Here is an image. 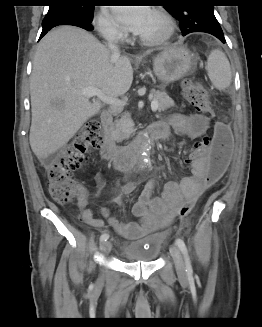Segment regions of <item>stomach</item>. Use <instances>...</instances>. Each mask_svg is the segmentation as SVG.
<instances>
[{"mask_svg": "<svg viewBox=\"0 0 262 327\" xmlns=\"http://www.w3.org/2000/svg\"><path fill=\"white\" fill-rule=\"evenodd\" d=\"M193 67V56L183 46L165 49L153 59L154 73L164 86L181 79L192 71Z\"/></svg>", "mask_w": 262, "mask_h": 327, "instance_id": "stomach-1", "label": "stomach"}]
</instances>
